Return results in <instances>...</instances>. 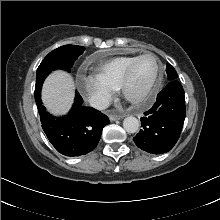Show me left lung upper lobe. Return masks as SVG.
Returning <instances> with one entry per match:
<instances>
[{
  "instance_id": "1",
  "label": "left lung upper lobe",
  "mask_w": 220,
  "mask_h": 220,
  "mask_svg": "<svg viewBox=\"0 0 220 220\" xmlns=\"http://www.w3.org/2000/svg\"><path fill=\"white\" fill-rule=\"evenodd\" d=\"M166 71H167V75H168L169 80H172V79H175L178 77L175 69L169 64L167 65Z\"/></svg>"
}]
</instances>
